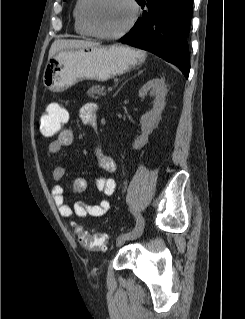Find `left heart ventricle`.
Returning a JSON list of instances; mask_svg holds the SVG:
<instances>
[{
  "label": "left heart ventricle",
  "mask_w": 245,
  "mask_h": 319,
  "mask_svg": "<svg viewBox=\"0 0 245 319\" xmlns=\"http://www.w3.org/2000/svg\"><path fill=\"white\" fill-rule=\"evenodd\" d=\"M89 14L98 30L114 33L128 23L132 10L127 0H95Z\"/></svg>",
  "instance_id": "1"
}]
</instances>
